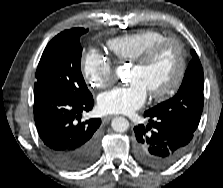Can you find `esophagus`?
Segmentation results:
<instances>
[{
	"mask_svg": "<svg viewBox=\"0 0 223 188\" xmlns=\"http://www.w3.org/2000/svg\"><path fill=\"white\" fill-rule=\"evenodd\" d=\"M113 117H114V116H105L102 120H103L104 122H108V121H110Z\"/></svg>",
	"mask_w": 223,
	"mask_h": 188,
	"instance_id": "obj_1",
	"label": "esophagus"
}]
</instances>
